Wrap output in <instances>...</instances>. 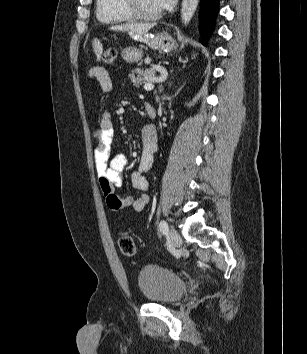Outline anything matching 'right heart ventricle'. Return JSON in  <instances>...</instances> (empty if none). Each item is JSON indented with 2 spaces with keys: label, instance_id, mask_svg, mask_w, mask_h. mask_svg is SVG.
I'll return each instance as SVG.
<instances>
[{
  "label": "right heart ventricle",
  "instance_id": "1",
  "mask_svg": "<svg viewBox=\"0 0 307 354\" xmlns=\"http://www.w3.org/2000/svg\"><path fill=\"white\" fill-rule=\"evenodd\" d=\"M96 17L104 24L127 22L133 19L124 9L122 0H96Z\"/></svg>",
  "mask_w": 307,
  "mask_h": 354
}]
</instances>
